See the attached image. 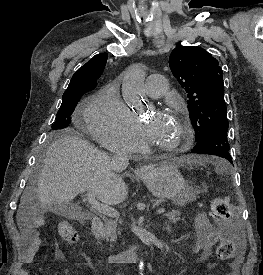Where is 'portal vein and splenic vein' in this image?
I'll list each match as a JSON object with an SVG mask.
<instances>
[{"mask_svg":"<svg viewBox=\"0 0 263 275\" xmlns=\"http://www.w3.org/2000/svg\"><path fill=\"white\" fill-rule=\"evenodd\" d=\"M87 200H88L89 204L91 205V207L93 209H95L97 212L104 214L106 216L112 217V218L119 217V213L114 208L96 200L95 195L93 193H91V192L87 193ZM165 211H166L165 208H159L157 210V213L162 214Z\"/></svg>","mask_w":263,"mask_h":275,"instance_id":"portal-vein-and-splenic-vein-1","label":"portal vein and splenic vein"}]
</instances>
